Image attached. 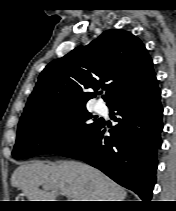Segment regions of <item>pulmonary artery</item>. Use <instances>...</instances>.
<instances>
[{
  "mask_svg": "<svg viewBox=\"0 0 176 211\" xmlns=\"http://www.w3.org/2000/svg\"><path fill=\"white\" fill-rule=\"evenodd\" d=\"M105 105H104V103L103 102H101V101H97L96 102V104H95V110L97 111V112H100V113H102V112H104L105 111Z\"/></svg>",
  "mask_w": 176,
  "mask_h": 211,
  "instance_id": "obj_1",
  "label": "pulmonary artery"
}]
</instances>
